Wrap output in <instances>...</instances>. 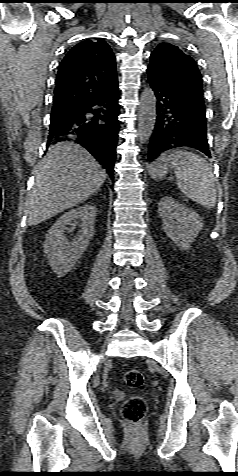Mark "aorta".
<instances>
[{
	"instance_id": "1",
	"label": "aorta",
	"mask_w": 238,
	"mask_h": 476,
	"mask_svg": "<svg viewBox=\"0 0 238 476\" xmlns=\"http://www.w3.org/2000/svg\"><path fill=\"white\" fill-rule=\"evenodd\" d=\"M156 120V98L151 87L141 93L137 135L140 144L146 143L154 129Z\"/></svg>"
}]
</instances>
